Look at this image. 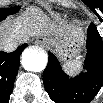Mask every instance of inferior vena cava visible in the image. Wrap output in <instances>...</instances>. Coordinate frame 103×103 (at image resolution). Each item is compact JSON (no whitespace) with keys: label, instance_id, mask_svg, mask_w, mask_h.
Segmentation results:
<instances>
[{"label":"inferior vena cava","instance_id":"602c4592","mask_svg":"<svg viewBox=\"0 0 103 103\" xmlns=\"http://www.w3.org/2000/svg\"><path fill=\"white\" fill-rule=\"evenodd\" d=\"M18 44L16 42H9L5 44H1V47L8 52H11L17 48Z\"/></svg>","mask_w":103,"mask_h":103}]
</instances>
